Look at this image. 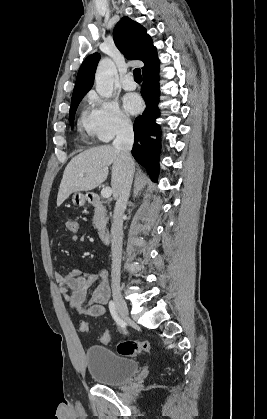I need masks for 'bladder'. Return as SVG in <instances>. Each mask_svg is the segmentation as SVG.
I'll return each instance as SVG.
<instances>
[{"label":"bladder","mask_w":267,"mask_h":419,"mask_svg":"<svg viewBox=\"0 0 267 419\" xmlns=\"http://www.w3.org/2000/svg\"><path fill=\"white\" fill-rule=\"evenodd\" d=\"M85 362L91 378L105 386L122 384L139 369L135 360L118 355L101 345H92L85 350Z\"/></svg>","instance_id":"31cf9c89"}]
</instances>
